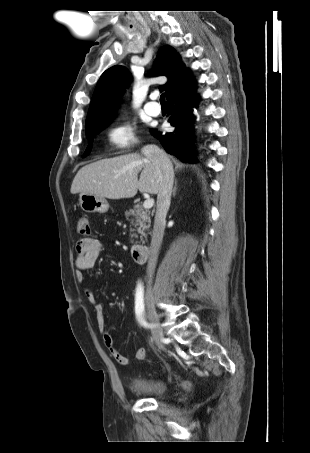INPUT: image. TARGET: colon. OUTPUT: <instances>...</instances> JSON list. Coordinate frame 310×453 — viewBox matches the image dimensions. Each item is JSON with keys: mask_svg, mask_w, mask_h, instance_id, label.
<instances>
[{"mask_svg": "<svg viewBox=\"0 0 310 453\" xmlns=\"http://www.w3.org/2000/svg\"><path fill=\"white\" fill-rule=\"evenodd\" d=\"M76 230L79 235H88L90 233L89 219L86 216L79 218Z\"/></svg>", "mask_w": 310, "mask_h": 453, "instance_id": "obj_1", "label": "colon"}]
</instances>
